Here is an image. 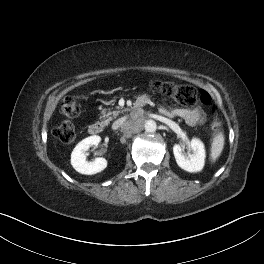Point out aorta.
<instances>
[{
  "mask_svg": "<svg viewBox=\"0 0 264 264\" xmlns=\"http://www.w3.org/2000/svg\"><path fill=\"white\" fill-rule=\"evenodd\" d=\"M144 127L148 133H153L157 130V124L154 120H147L144 124Z\"/></svg>",
  "mask_w": 264,
  "mask_h": 264,
  "instance_id": "1",
  "label": "aorta"
}]
</instances>
